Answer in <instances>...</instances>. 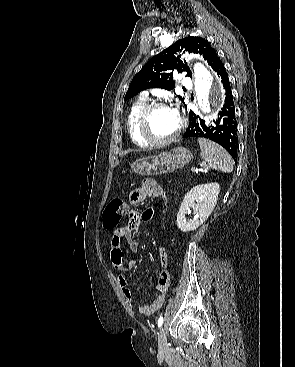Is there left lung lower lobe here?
I'll return each mask as SVG.
<instances>
[{
    "label": "left lung lower lobe",
    "mask_w": 295,
    "mask_h": 367,
    "mask_svg": "<svg viewBox=\"0 0 295 367\" xmlns=\"http://www.w3.org/2000/svg\"><path fill=\"white\" fill-rule=\"evenodd\" d=\"M213 70L218 74L225 89L224 105L218 113V118L214 120L215 125L206 126L203 120H200L199 125L196 123L197 116L190 112V126L187 128L183 137H201L210 139L224 147L236 162L238 137L235 107L229 78L220 58L217 59Z\"/></svg>",
    "instance_id": "0a47b994"
}]
</instances>
